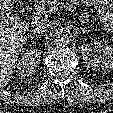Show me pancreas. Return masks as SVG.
<instances>
[{
  "instance_id": "cf45deb5",
  "label": "pancreas",
  "mask_w": 113,
  "mask_h": 113,
  "mask_svg": "<svg viewBox=\"0 0 113 113\" xmlns=\"http://www.w3.org/2000/svg\"><path fill=\"white\" fill-rule=\"evenodd\" d=\"M59 0H48L44 1L42 0L40 5H37L33 9V14L35 17L39 18L40 22H45L48 18V14L50 13V10L53 5L58 4ZM64 6L69 10H75L76 7L69 2H65Z\"/></svg>"
}]
</instances>
